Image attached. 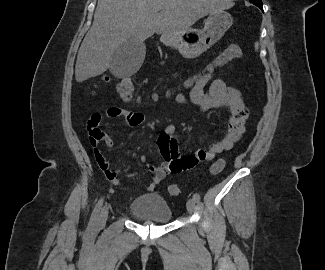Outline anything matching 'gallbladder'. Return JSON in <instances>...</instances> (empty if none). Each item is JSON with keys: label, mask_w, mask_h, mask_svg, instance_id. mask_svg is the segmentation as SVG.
<instances>
[{"label": "gallbladder", "mask_w": 325, "mask_h": 270, "mask_svg": "<svg viewBox=\"0 0 325 270\" xmlns=\"http://www.w3.org/2000/svg\"><path fill=\"white\" fill-rule=\"evenodd\" d=\"M145 53L143 42L134 37L129 38L115 51L109 67L110 72L119 78L132 76L141 67Z\"/></svg>", "instance_id": "1"}]
</instances>
